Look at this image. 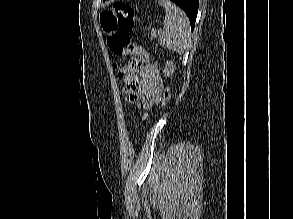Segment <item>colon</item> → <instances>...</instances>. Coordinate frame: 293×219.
I'll list each match as a JSON object with an SVG mask.
<instances>
[{"instance_id": "colon-1", "label": "colon", "mask_w": 293, "mask_h": 219, "mask_svg": "<svg viewBox=\"0 0 293 219\" xmlns=\"http://www.w3.org/2000/svg\"><path fill=\"white\" fill-rule=\"evenodd\" d=\"M136 23L134 10L123 2H116L100 13V24L107 37L109 49L116 55L131 56L127 65L118 69L120 77L129 73H139L149 63L147 52L130 39L129 33L135 28ZM171 94L170 87H166L162 94L161 106L169 102Z\"/></svg>"}]
</instances>
